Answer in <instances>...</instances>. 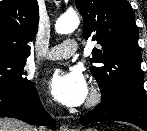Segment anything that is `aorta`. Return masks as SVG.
<instances>
[{"label": "aorta", "instance_id": "762f6f07", "mask_svg": "<svg viewBox=\"0 0 147 131\" xmlns=\"http://www.w3.org/2000/svg\"><path fill=\"white\" fill-rule=\"evenodd\" d=\"M79 22L76 13H65L56 21L55 30L59 34H68L78 27Z\"/></svg>", "mask_w": 147, "mask_h": 131}]
</instances>
